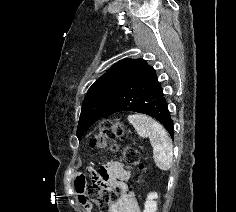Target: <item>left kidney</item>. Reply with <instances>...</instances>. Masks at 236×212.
I'll use <instances>...</instances> for the list:
<instances>
[{
    "mask_svg": "<svg viewBox=\"0 0 236 212\" xmlns=\"http://www.w3.org/2000/svg\"><path fill=\"white\" fill-rule=\"evenodd\" d=\"M158 198L157 193H149L144 204V211L143 212H156L157 210V202L155 199Z\"/></svg>",
    "mask_w": 236,
    "mask_h": 212,
    "instance_id": "obj_1",
    "label": "left kidney"
}]
</instances>
